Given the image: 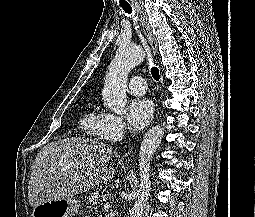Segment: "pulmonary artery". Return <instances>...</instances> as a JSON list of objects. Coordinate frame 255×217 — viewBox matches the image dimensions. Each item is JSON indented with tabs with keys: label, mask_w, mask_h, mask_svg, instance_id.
Instances as JSON below:
<instances>
[{
	"label": "pulmonary artery",
	"mask_w": 255,
	"mask_h": 217,
	"mask_svg": "<svg viewBox=\"0 0 255 217\" xmlns=\"http://www.w3.org/2000/svg\"><path fill=\"white\" fill-rule=\"evenodd\" d=\"M128 91L133 95H143L147 91V84L143 77L134 76L128 81Z\"/></svg>",
	"instance_id": "1"
}]
</instances>
